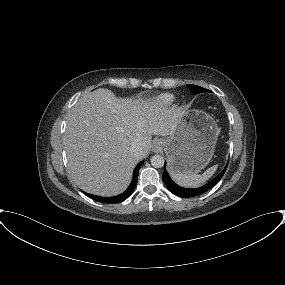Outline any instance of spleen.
I'll return each instance as SVG.
<instances>
[{"instance_id": "3e777b00", "label": "spleen", "mask_w": 285, "mask_h": 285, "mask_svg": "<svg viewBox=\"0 0 285 285\" xmlns=\"http://www.w3.org/2000/svg\"><path fill=\"white\" fill-rule=\"evenodd\" d=\"M216 170H217V165H214L209 169H207L202 175L177 173V174H171V176L177 184L183 187L195 188L200 186L209 178H211L213 174L216 172Z\"/></svg>"}]
</instances>
